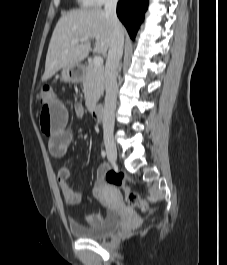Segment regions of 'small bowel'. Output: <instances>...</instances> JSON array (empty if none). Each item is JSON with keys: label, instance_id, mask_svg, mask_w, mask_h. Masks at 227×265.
<instances>
[{"label": "small bowel", "instance_id": "obj_1", "mask_svg": "<svg viewBox=\"0 0 227 265\" xmlns=\"http://www.w3.org/2000/svg\"><path fill=\"white\" fill-rule=\"evenodd\" d=\"M75 112L81 116L84 114L82 105L76 104ZM40 126L42 132L48 137V149L54 157H62L66 154L73 135L67 128L68 111L64 104L55 99H50L49 102H43L42 109L39 112ZM106 174V167L104 165L97 169L96 180L93 186V195L96 198L103 196V183ZM71 172L69 168L63 166L57 172V183L61 195L70 206L78 205L82 202L84 194L76 192L70 185ZM103 218L100 214H89L86 216V221L90 226H97L102 222Z\"/></svg>", "mask_w": 227, "mask_h": 265}]
</instances>
